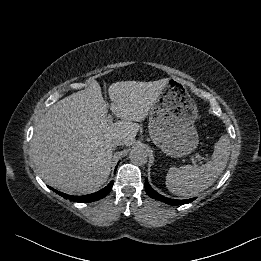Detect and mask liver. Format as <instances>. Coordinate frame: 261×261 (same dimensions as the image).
<instances>
[{"mask_svg":"<svg viewBox=\"0 0 261 261\" xmlns=\"http://www.w3.org/2000/svg\"><path fill=\"white\" fill-rule=\"evenodd\" d=\"M166 79L121 81L108 88L110 109L121 120L107 123L108 106L97 81L73 93L45 113L35 128L31 153L41 178L69 194L96 192L107 181L112 166L111 143H134Z\"/></svg>","mask_w":261,"mask_h":261,"instance_id":"1","label":"liver"}]
</instances>
